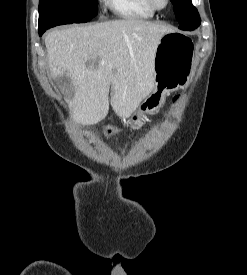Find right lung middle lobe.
<instances>
[{
  "mask_svg": "<svg viewBox=\"0 0 247 275\" xmlns=\"http://www.w3.org/2000/svg\"><path fill=\"white\" fill-rule=\"evenodd\" d=\"M98 0H40L39 28L85 23L97 15Z\"/></svg>",
  "mask_w": 247,
  "mask_h": 275,
  "instance_id": "1",
  "label": "right lung middle lobe"
}]
</instances>
